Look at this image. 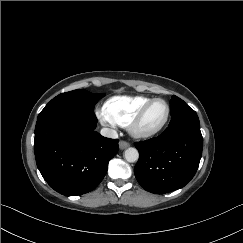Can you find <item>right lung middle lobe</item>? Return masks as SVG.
<instances>
[{
  "label": "right lung middle lobe",
  "mask_w": 243,
  "mask_h": 243,
  "mask_svg": "<svg viewBox=\"0 0 243 243\" xmlns=\"http://www.w3.org/2000/svg\"><path fill=\"white\" fill-rule=\"evenodd\" d=\"M105 96V94H92L86 90L78 89L62 93L53 98L41 111L46 112L54 108H73L83 111L93 112L96 103Z\"/></svg>",
  "instance_id": "1"
}]
</instances>
